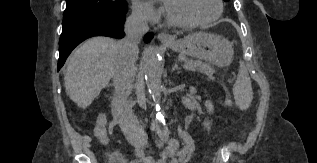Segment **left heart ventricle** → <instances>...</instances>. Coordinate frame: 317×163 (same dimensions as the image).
<instances>
[{
  "instance_id": "b2bd125f",
  "label": "left heart ventricle",
  "mask_w": 317,
  "mask_h": 163,
  "mask_svg": "<svg viewBox=\"0 0 317 163\" xmlns=\"http://www.w3.org/2000/svg\"><path fill=\"white\" fill-rule=\"evenodd\" d=\"M174 17L197 21L212 17L217 11L216 0H162Z\"/></svg>"
}]
</instances>
